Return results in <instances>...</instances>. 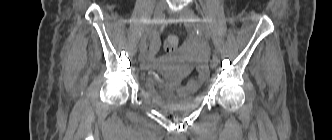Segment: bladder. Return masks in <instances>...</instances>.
<instances>
[{
	"label": "bladder",
	"instance_id": "31cf9c89",
	"mask_svg": "<svg viewBox=\"0 0 332 140\" xmlns=\"http://www.w3.org/2000/svg\"><path fill=\"white\" fill-rule=\"evenodd\" d=\"M203 81L190 79L176 89L175 93L150 91L152 101L159 107L169 111H180L185 109L201 89Z\"/></svg>",
	"mask_w": 332,
	"mask_h": 140
}]
</instances>
